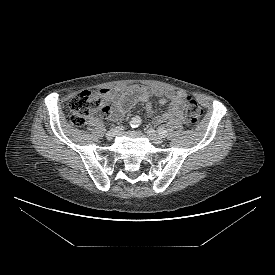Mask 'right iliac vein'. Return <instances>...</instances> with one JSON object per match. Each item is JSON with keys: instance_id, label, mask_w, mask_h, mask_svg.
I'll return each instance as SVG.
<instances>
[{"instance_id": "1", "label": "right iliac vein", "mask_w": 275, "mask_h": 275, "mask_svg": "<svg viewBox=\"0 0 275 275\" xmlns=\"http://www.w3.org/2000/svg\"><path fill=\"white\" fill-rule=\"evenodd\" d=\"M122 127H115L110 129L107 133H106V138L108 140H112L116 135H118L121 131H122Z\"/></svg>"}]
</instances>
